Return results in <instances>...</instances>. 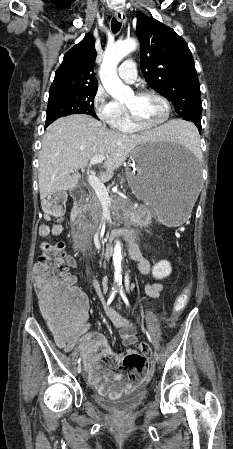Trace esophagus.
Wrapping results in <instances>:
<instances>
[{
  "instance_id": "obj_1",
  "label": "esophagus",
  "mask_w": 233,
  "mask_h": 449,
  "mask_svg": "<svg viewBox=\"0 0 233 449\" xmlns=\"http://www.w3.org/2000/svg\"><path fill=\"white\" fill-rule=\"evenodd\" d=\"M115 17H116V19L119 21V22H122V23H126L127 22V17H126V15L125 14H123L121 11H119V10H117L116 12H115Z\"/></svg>"
}]
</instances>
